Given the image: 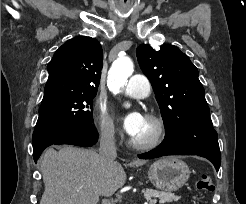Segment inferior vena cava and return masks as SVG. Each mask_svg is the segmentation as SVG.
Segmentation results:
<instances>
[{
    "label": "inferior vena cava",
    "instance_id": "obj_1",
    "mask_svg": "<svg viewBox=\"0 0 246 204\" xmlns=\"http://www.w3.org/2000/svg\"><path fill=\"white\" fill-rule=\"evenodd\" d=\"M99 155L103 162L112 163L116 157V145L112 131H105L100 138Z\"/></svg>",
    "mask_w": 246,
    "mask_h": 204
}]
</instances>
